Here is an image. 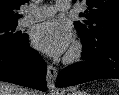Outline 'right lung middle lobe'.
<instances>
[{"mask_svg": "<svg viewBox=\"0 0 119 95\" xmlns=\"http://www.w3.org/2000/svg\"><path fill=\"white\" fill-rule=\"evenodd\" d=\"M17 24L0 25V43L19 41L24 37V34L14 32Z\"/></svg>", "mask_w": 119, "mask_h": 95, "instance_id": "1", "label": "right lung middle lobe"}]
</instances>
